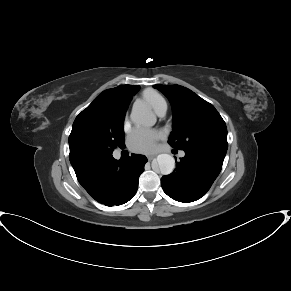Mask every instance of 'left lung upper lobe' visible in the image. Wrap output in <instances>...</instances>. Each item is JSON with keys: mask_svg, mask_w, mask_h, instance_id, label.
<instances>
[{"mask_svg": "<svg viewBox=\"0 0 291 291\" xmlns=\"http://www.w3.org/2000/svg\"><path fill=\"white\" fill-rule=\"evenodd\" d=\"M170 101L173 110L172 147L179 150L204 148L227 151V128L224 120L209 102L180 85L156 84Z\"/></svg>", "mask_w": 291, "mask_h": 291, "instance_id": "obj_1", "label": "left lung upper lobe"}]
</instances>
